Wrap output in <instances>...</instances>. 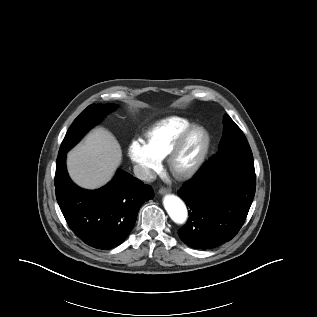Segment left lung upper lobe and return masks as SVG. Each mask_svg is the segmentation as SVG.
Segmentation results:
<instances>
[{"instance_id":"5c2ea615","label":"left lung upper lobe","mask_w":317,"mask_h":317,"mask_svg":"<svg viewBox=\"0 0 317 317\" xmlns=\"http://www.w3.org/2000/svg\"><path fill=\"white\" fill-rule=\"evenodd\" d=\"M217 156L239 155L253 159L251 148L241 129L225 114L223 117V135L218 146Z\"/></svg>"}]
</instances>
